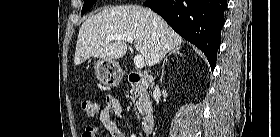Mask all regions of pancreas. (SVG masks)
<instances>
[{
    "label": "pancreas",
    "instance_id": "cf45deb5",
    "mask_svg": "<svg viewBox=\"0 0 280 137\" xmlns=\"http://www.w3.org/2000/svg\"><path fill=\"white\" fill-rule=\"evenodd\" d=\"M131 90L134 94L131 97L134 109L139 119L152 111V105L149 99V93L142 84H131Z\"/></svg>",
    "mask_w": 280,
    "mask_h": 137
}]
</instances>
